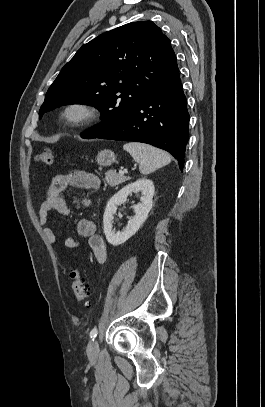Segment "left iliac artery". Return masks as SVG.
Returning a JSON list of instances; mask_svg holds the SVG:
<instances>
[{
  "label": "left iliac artery",
  "mask_w": 265,
  "mask_h": 407,
  "mask_svg": "<svg viewBox=\"0 0 265 407\" xmlns=\"http://www.w3.org/2000/svg\"><path fill=\"white\" fill-rule=\"evenodd\" d=\"M97 334H98V330H97V328L95 327V328H93V329L91 330V332H90V338L94 339V338L97 336Z\"/></svg>",
  "instance_id": "left-iliac-artery-1"
}]
</instances>
